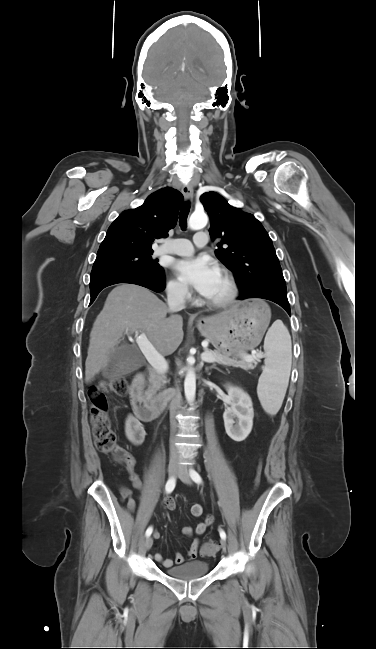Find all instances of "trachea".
Instances as JSON below:
<instances>
[{
	"label": "trachea",
	"mask_w": 376,
	"mask_h": 649,
	"mask_svg": "<svg viewBox=\"0 0 376 649\" xmlns=\"http://www.w3.org/2000/svg\"><path fill=\"white\" fill-rule=\"evenodd\" d=\"M190 210V204L189 202H186L183 204L180 213H179V223L180 227L185 230L187 227V218Z\"/></svg>",
	"instance_id": "trachea-1"
}]
</instances>
